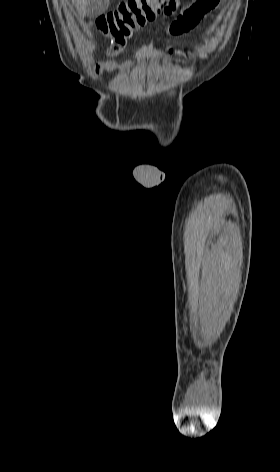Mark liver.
<instances>
[{
    "instance_id": "liver-1",
    "label": "liver",
    "mask_w": 280,
    "mask_h": 472,
    "mask_svg": "<svg viewBox=\"0 0 280 472\" xmlns=\"http://www.w3.org/2000/svg\"><path fill=\"white\" fill-rule=\"evenodd\" d=\"M72 2L74 3L80 16L83 18L87 13V5L89 0H72Z\"/></svg>"
}]
</instances>
